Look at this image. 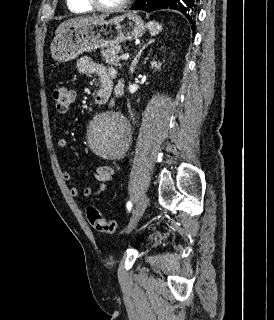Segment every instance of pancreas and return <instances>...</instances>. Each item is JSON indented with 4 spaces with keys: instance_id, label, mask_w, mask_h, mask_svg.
I'll use <instances>...</instances> for the list:
<instances>
[{
    "instance_id": "obj_1",
    "label": "pancreas",
    "mask_w": 274,
    "mask_h": 320,
    "mask_svg": "<svg viewBox=\"0 0 274 320\" xmlns=\"http://www.w3.org/2000/svg\"><path fill=\"white\" fill-rule=\"evenodd\" d=\"M119 52H122L120 46H111V48H107V50H102L101 56L106 64H113V66L122 68L121 64H119Z\"/></svg>"
}]
</instances>
